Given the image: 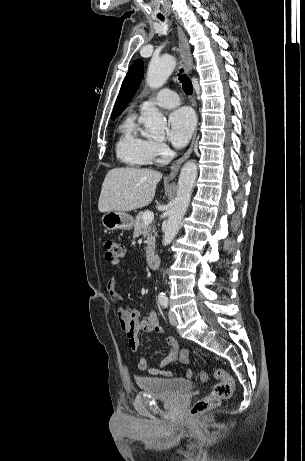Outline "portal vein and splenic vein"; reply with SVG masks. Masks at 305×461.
<instances>
[{"label": "portal vein and splenic vein", "mask_w": 305, "mask_h": 461, "mask_svg": "<svg viewBox=\"0 0 305 461\" xmlns=\"http://www.w3.org/2000/svg\"><path fill=\"white\" fill-rule=\"evenodd\" d=\"M154 219V213L153 212H145L143 215V221L145 224L151 223Z\"/></svg>", "instance_id": "obj_1"}]
</instances>
